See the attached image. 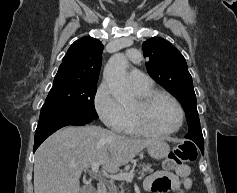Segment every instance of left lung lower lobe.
Here are the masks:
<instances>
[{"label":"left lung lower lobe","mask_w":237,"mask_h":193,"mask_svg":"<svg viewBox=\"0 0 237 193\" xmlns=\"http://www.w3.org/2000/svg\"><path fill=\"white\" fill-rule=\"evenodd\" d=\"M200 150H201L202 154H204V148H200Z\"/></svg>","instance_id":"0a47b994"}]
</instances>
